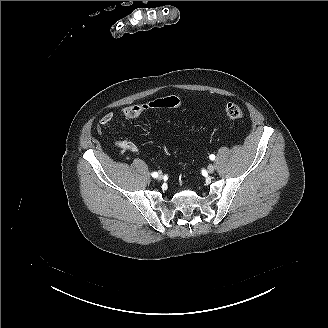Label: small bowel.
<instances>
[{
	"label": "small bowel",
	"instance_id": "1",
	"mask_svg": "<svg viewBox=\"0 0 328 328\" xmlns=\"http://www.w3.org/2000/svg\"><path fill=\"white\" fill-rule=\"evenodd\" d=\"M117 116L112 113H106L101 119H100V125L103 127L108 126ZM119 146L121 148L122 153L126 152H136L137 151V146L131 141L123 140L119 143Z\"/></svg>",
	"mask_w": 328,
	"mask_h": 328
}]
</instances>
